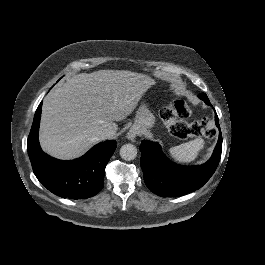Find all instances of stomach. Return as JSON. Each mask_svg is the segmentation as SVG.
Masks as SVG:
<instances>
[{"instance_id":"0dacf381","label":"stomach","mask_w":265,"mask_h":265,"mask_svg":"<svg viewBox=\"0 0 265 265\" xmlns=\"http://www.w3.org/2000/svg\"><path fill=\"white\" fill-rule=\"evenodd\" d=\"M155 124L156 117L150 111L147 100H142L135 113L134 124L130 131L134 133L140 132L142 136H148Z\"/></svg>"}]
</instances>
